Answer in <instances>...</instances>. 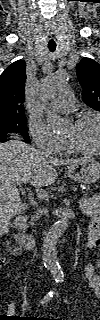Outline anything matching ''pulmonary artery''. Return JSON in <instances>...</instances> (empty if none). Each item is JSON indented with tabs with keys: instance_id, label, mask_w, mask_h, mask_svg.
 Segmentation results:
<instances>
[{
	"instance_id": "pulmonary-artery-1",
	"label": "pulmonary artery",
	"mask_w": 100,
	"mask_h": 320,
	"mask_svg": "<svg viewBox=\"0 0 100 320\" xmlns=\"http://www.w3.org/2000/svg\"><path fill=\"white\" fill-rule=\"evenodd\" d=\"M52 105L61 112H70L74 109L75 99L71 92L65 89L60 93L58 99H56Z\"/></svg>"
}]
</instances>
